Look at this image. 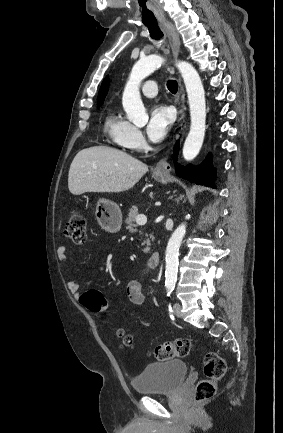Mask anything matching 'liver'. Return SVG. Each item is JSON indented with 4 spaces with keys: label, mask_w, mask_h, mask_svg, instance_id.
Wrapping results in <instances>:
<instances>
[{
    "label": "liver",
    "mask_w": 283,
    "mask_h": 433,
    "mask_svg": "<svg viewBox=\"0 0 283 433\" xmlns=\"http://www.w3.org/2000/svg\"><path fill=\"white\" fill-rule=\"evenodd\" d=\"M148 166L123 150L111 146H90L74 156L68 174L72 194L122 192L132 188Z\"/></svg>",
    "instance_id": "6515ba94"
}]
</instances>
